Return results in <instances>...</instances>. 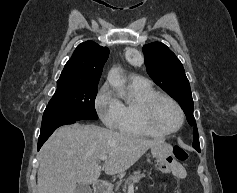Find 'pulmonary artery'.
I'll use <instances>...</instances> for the list:
<instances>
[{"mask_svg":"<svg viewBox=\"0 0 237 193\" xmlns=\"http://www.w3.org/2000/svg\"><path fill=\"white\" fill-rule=\"evenodd\" d=\"M130 79L132 82H136V83L146 82V79L140 75H132Z\"/></svg>","mask_w":237,"mask_h":193,"instance_id":"e3ab8cb5","label":"pulmonary artery"}]
</instances>
